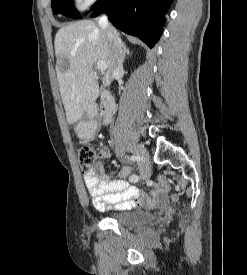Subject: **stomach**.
<instances>
[{
	"label": "stomach",
	"mask_w": 247,
	"mask_h": 275,
	"mask_svg": "<svg viewBox=\"0 0 247 275\" xmlns=\"http://www.w3.org/2000/svg\"><path fill=\"white\" fill-rule=\"evenodd\" d=\"M75 132L79 136H84L89 132V126L86 122H79L75 128Z\"/></svg>",
	"instance_id": "0dacf381"
}]
</instances>
